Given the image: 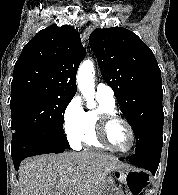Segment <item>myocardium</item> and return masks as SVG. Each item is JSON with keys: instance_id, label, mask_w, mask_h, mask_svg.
I'll use <instances>...</instances> for the list:
<instances>
[{"instance_id": "1", "label": "myocardium", "mask_w": 178, "mask_h": 195, "mask_svg": "<svg viewBox=\"0 0 178 195\" xmlns=\"http://www.w3.org/2000/svg\"><path fill=\"white\" fill-rule=\"evenodd\" d=\"M116 122L124 124L131 136V145L128 149H118L111 145L108 140V129L109 127ZM96 136L98 141L108 150H111L116 153L127 154L130 153L136 144V135L131 124L124 118L118 116L115 113L111 112H102L97 117V127H96Z\"/></svg>"}]
</instances>
